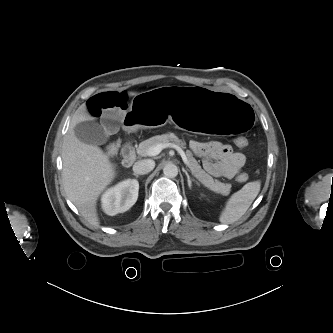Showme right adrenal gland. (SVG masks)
Returning <instances> with one entry per match:
<instances>
[{
  "label": "right adrenal gland",
  "instance_id": "2a0ac1e0",
  "mask_svg": "<svg viewBox=\"0 0 333 333\" xmlns=\"http://www.w3.org/2000/svg\"><path fill=\"white\" fill-rule=\"evenodd\" d=\"M133 175H134L135 177H137V178L139 177V175H138V174H136V173H133Z\"/></svg>",
  "mask_w": 333,
  "mask_h": 333
}]
</instances>
